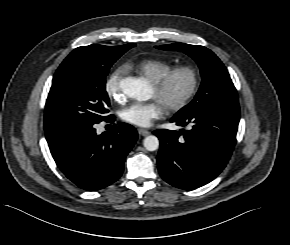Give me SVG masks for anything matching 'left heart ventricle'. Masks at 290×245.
<instances>
[{
	"instance_id": "1",
	"label": "left heart ventricle",
	"mask_w": 290,
	"mask_h": 245,
	"mask_svg": "<svg viewBox=\"0 0 290 245\" xmlns=\"http://www.w3.org/2000/svg\"><path fill=\"white\" fill-rule=\"evenodd\" d=\"M190 84V77L188 74L181 73L173 78L167 90L158 94L152 88V96L159 99L164 106L179 99L188 89Z\"/></svg>"
}]
</instances>
